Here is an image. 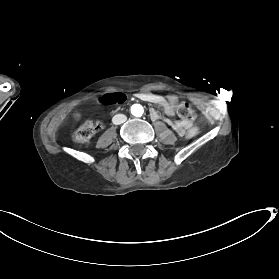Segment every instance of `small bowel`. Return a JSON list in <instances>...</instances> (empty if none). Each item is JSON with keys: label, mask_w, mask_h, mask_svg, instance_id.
<instances>
[{"label": "small bowel", "mask_w": 279, "mask_h": 279, "mask_svg": "<svg viewBox=\"0 0 279 279\" xmlns=\"http://www.w3.org/2000/svg\"><path fill=\"white\" fill-rule=\"evenodd\" d=\"M138 97L161 107L167 116L165 118L167 123L178 135H185L187 130L192 126L190 121L177 120L173 118L174 110L178 105V99L176 96L169 95L168 97H163L152 92H142L138 94ZM150 116L153 120H156L160 117L159 114L153 109L150 111Z\"/></svg>", "instance_id": "c3829d8e"}]
</instances>
